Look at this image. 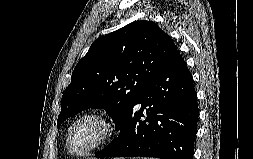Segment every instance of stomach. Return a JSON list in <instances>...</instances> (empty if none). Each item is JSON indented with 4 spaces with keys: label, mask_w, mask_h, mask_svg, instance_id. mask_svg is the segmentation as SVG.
I'll list each match as a JSON object with an SVG mask.
<instances>
[{
    "label": "stomach",
    "mask_w": 253,
    "mask_h": 159,
    "mask_svg": "<svg viewBox=\"0 0 253 159\" xmlns=\"http://www.w3.org/2000/svg\"><path fill=\"white\" fill-rule=\"evenodd\" d=\"M114 159H124V158H114Z\"/></svg>",
    "instance_id": "obj_1"
}]
</instances>
